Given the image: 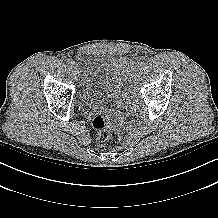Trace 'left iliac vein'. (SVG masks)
<instances>
[{
	"mask_svg": "<svg viewBox=\"0 0 218 218\" xmlns=\"http://www.w3.org/2000/svg\"><path fill=\"white\" fill-rule=\"evenodd\" d=\"M141 69H142V65H141V64H138L137 67L134 69V71L131 72V76H132V77H131L130 79H131L132 81L135 79L134 77H136V76L138 75L137 73H138Z\"/></svg>",
	"mask_w": 218,
	"mask_h": 218,
	"instance_id": "1",
	"label": "left iliac vein"
}]
</instances>
